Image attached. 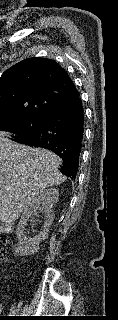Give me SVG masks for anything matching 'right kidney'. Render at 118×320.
Returning <instances> with one entry per match:
<instances>
[{
    "label": "right kidney",
    "instance_id": "obj_1",
    "mask_svg": "<svg viewBox=\"0 0 118 320\" xmlns=\"http://www.w3.org/2000/svg\"><path fill=\"white\" fill-rule=\"evenodd\" d=\"M59 197V191L55 188H48L40 191L33 199L29 208L24 210L20 221L16 229V236L19 246L17 251L23 255L34 254L39 244L45 240L48 236L50 226L54 220L55 214L53 211L54 205L57 203ZM45 215V222L41 228V231L34 237L26 235L27 222L34 220L35 217H39V214ZM36 223L33 221L31 225V231L35 232Z\"/></svg>",
    "mask_w": 118,
    "mask_h": 320
}]
</instances>
